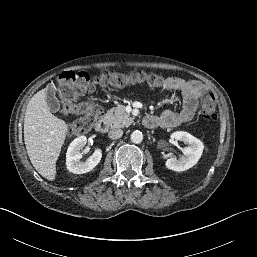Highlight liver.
Masks as SVG:
<instances>
[{
    "label": "liver",
    "instance_id": "obj_1",
    "mask_svg": "<svg viewBox=\"0 0 257 257\" xmlns=\"http://www.w3.org/2000/svg\"><path fill=\"white\" fill-rule=\"evenodd\" d=\"M44 88L30 99L24 118V141L28 156L36 171L53 181L56 161L68 133L67 124L54 116L46 102Z\"/></svg>",
    "mask_w": 257,
    "mask_h": 257
}]
</instances>
